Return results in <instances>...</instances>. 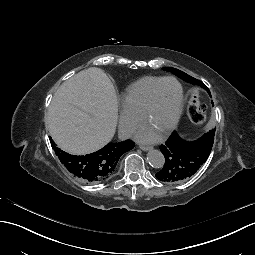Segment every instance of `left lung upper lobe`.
Segmentation results:
<instances>
[{"label":"left lung upper lobe","instance_id":"obj_1","mask_svg":"<svg viewBox=\"0 0 255 255\" xmlns=\"http://www.w3.org/2000/svg\"><path fill=\"white\" fill-rule=\"evenodd\" d=\"M163 70H165V71H170V72H172L173 74H175L176 76L180 77L181 79H183V80H185V81H187V82H189V83H191V84L200 85L201 87H203L204 89H206L207 92L209 93V95L211 96V93H210L209 89H208L201 81H199V80H197V79H195V78L189 76L188 74H186V73H184V72H182V71H180V70H178V69H175V68L166 67V68H163ZM212 104H213V102H212ZM213 106H214V104H213ZM173 133H176V132H173ZM173 133H172V134H173ZM176 134H177V133H176ZM204 135H206V136L209 138V140H210V147H211V149H212V145H213V142H214L215 129H212L211 131H209L208 133H206V134H204ZM184 142H186V141H184ZM163 155H164V154H163ZM164 156H165V155H164ZM206 160H207V159H206ZM200 167H201V165H200ZM181 182H182V181H181ZM176 183H179V182H176Z\"/></svg>","mask_w":255,"mask_h":255}]
</instances>
